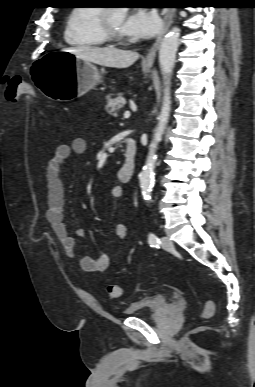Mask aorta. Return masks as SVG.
<instances>
[{
	"mask_svg": "<svg viewBox=\"0 0 255 387\" xmlns=\"http://www.w3.org/2000/svg\"><path fill=\"white\" fill-rule=\"evenodd\" d=\"M123 12L127 9L123 8ZM180 29L174 27L163 38L159 49V64L164 80V95L162 101L161 112L158 117V125L154 131V137L150 144L149 153L146 164L139 175L141 193L147 202L151 200L153 187V175L157 161L155 154L158 143L162 139L163 132L169 119L171 110V95H170V78L175 65L176 53L179 45Z\"/></svg>",
	"mask_w": 255,
	"mask_h": 387,
	"instance_id": "aorta-1",
	"label": "aorta"
}]
</instances>
